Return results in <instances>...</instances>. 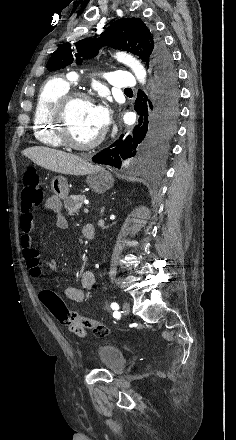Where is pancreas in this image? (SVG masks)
Listing matches in <instances>:
<instances>
[{
	"label": "pancreas",
	"instance_id": "cf45deb5",
	"mask_svg": "<svg viewBox=\"0 0 236 440\" xmlns=\"http://www.w3.org/2000/svg\"><path fill=\"white\" fill-rule=\"evenodd\" d=\"M86 199L85 195H71L64 199V205L70 215L77 213L81 208L83 201Z\"/></svg>",
	"mask_w": 236,
	"mask_h": 440
}]
</instances>
